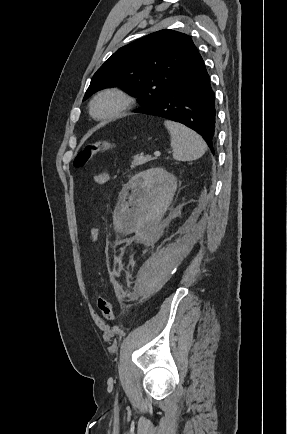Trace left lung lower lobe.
<instances>
[{
	"instance_id": "1",
	"label": "left lung lower lobe",
	"mask_w": 287,
	"mask_h": 434,
	"mask_svg": "<svg viewBox=\"0 0 287 434\" xmlns=\"http://www.w3.org/2000/svg\"><path fill=\"white\" fill-rule=\"evenodd\" d=\"M215 95L201 58L188 68L154 105L136 110L180 122L195 130L214 152L216 136Z\"/></svg>"
}]
</instances>
